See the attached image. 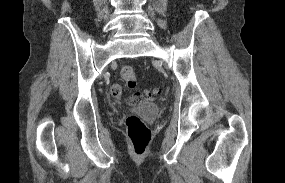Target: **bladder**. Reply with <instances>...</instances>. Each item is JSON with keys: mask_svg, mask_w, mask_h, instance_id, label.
Segmentation results:
<instances>
[{"mask_svg": "<svg viewBox=\"0 0 285 183\" xmlns=\"http://www.w3.org/2000/svg\"><path fill=\"white\" fill-rule=\"evenodd\" d=\"M134 113L145 119L153 120L160 114V108L155 104L145 103L136 107Z\"/></svg>", "mask_w": 285, "mask_h": 183, "instance_id": "bladder-1", "label": "bladder"}]
</instances>
